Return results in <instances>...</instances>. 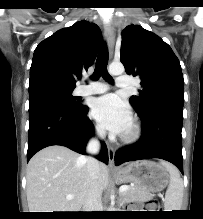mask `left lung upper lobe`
Segmentation results:
<instances>
[{
    "instance_id": "5c2ea615",
    "label": "left lung upper lobe",
    "mask_w": 203,
    "mask_h": 219,
    "mask_svg": "<svg viewBox=\"0 0 203 219\" xmlns=\"http://www.w3.org/2000/svg\"><path fill=\"white\" fill-rule=\"evenodd\" d=\"M121 62L127 74L141 79L143 90L129 99L141 118L158 108H183L180 62L160 37L141 26H127L122 33Z\"/></svg>"
}]
</instances>
